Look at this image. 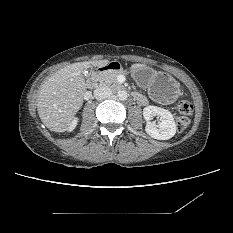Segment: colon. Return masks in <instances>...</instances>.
<instances>
[{
  "mask_svg": "<svg viewBox=\"0 0 233 233\" xmlns=\"http://www.w3.org/2000/svg\"><path fill=\"white\" fill-rule=\"evenodd\" d=\"M177 111L179 116L176 121V127L179 132H182L190 124V116L193 113V106L190 102L182 100L177 103Z\"/></svg>",
  "mask_w": 233,
  "mask_h": 233,
  "instance_id": "5ec220e1",
  "label": "colon"
}]
</instances>
